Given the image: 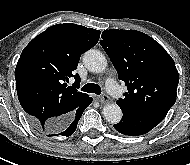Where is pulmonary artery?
<instances>
[{
	"label": "pulmonary artery",
	"mask_w": 190,
	"mask_h": 165,
	"mask_svg": "<svg viewBox=\"0 0 190 165\" xmlns=\"http://www.w3.org/2000/svg\"><path fill=\"white\" fill-rule=\"evenodd\" d=\"M106 88L108 92L113 96L118 97L121 94V90L113 78H108L106 80Z\"/></svg>",
	"instance_id": "obj_1"
}]
</instances>
